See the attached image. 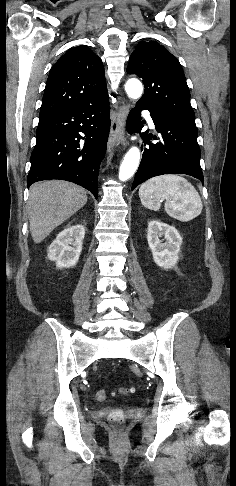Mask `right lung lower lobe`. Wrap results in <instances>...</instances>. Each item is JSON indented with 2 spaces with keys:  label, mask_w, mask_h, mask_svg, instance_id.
<instances>
[{
  "label": "right lung lower lobe",
  "mask_w": 236,
  "mask_h": 486,
  "mask_svg": "<svg viewBox=\"0 0 236 486\" xmlns=\"http://www.w3.org/2000/svg\"><path fill=\"white\" fill-rule=\"evenodd\" d=\"M109 130L108 99L40 116L27 185L66 180L81 185L97 198L98 169Z\"/></svg>",
  "instance_id": "obj_1"
}]
</instances>
